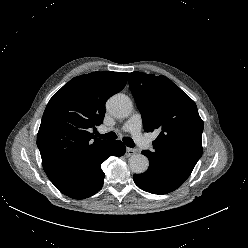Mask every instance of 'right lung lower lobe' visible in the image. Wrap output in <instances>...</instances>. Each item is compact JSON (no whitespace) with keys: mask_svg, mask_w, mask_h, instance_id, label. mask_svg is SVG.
Listing matches in <instances>:
<instances>
[{"mask_svg":"<svg viewBox=\"0 0 248 248\" xmlns=\"http://www.w3.org/2000/svg\"><path fill=\"white\" fill-rule=\"evenodd\" d=\"M126 147L121 141H109L101 150L86 158H79L64 176L52 182L63 194L84 199L97 193L104 182L101 163L110 156H122Z\"/></svg>","mask_w":248,"mask_h":248,"instance_id":"1","label":"right lung lower lobe"}]
</instances>
